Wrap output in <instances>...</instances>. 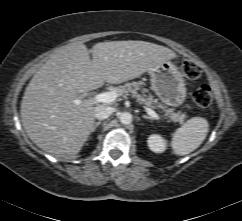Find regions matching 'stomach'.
<instances>
[{"label":"stomach","mask_w":242,"mask_h":221,"mask_svg":"<svg viewBox=\"0 0 242 221\" xmlns=\"http://www.w3.org/2000/svg\"><path fill=\"white\" fill-rule=\"evenodd\" d=\"M151 89L168 106H180L186 99L185 80L180 70L170 61L149 70Z\"/></svg>","instance_id":"0dacf381"}]
</instances>
